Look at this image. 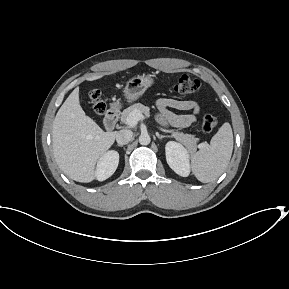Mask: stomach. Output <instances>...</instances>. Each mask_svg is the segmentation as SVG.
Segmentation results:
<instances>
[{"label":"stomach","instance_id":"obj_1","mask_svg":"<svg viewBox=\"0 0 289 289\" xmlns=\"http://www.w3.org/2000/svg\"><path fill=\"white\" fill-rule=\"evenodd\" d=\"M154 84L151 75L132 77L125 85L123 93L128 102L139 99Z\"/></svg>","mask_w":289,"mask_h":289}]
</instances>
